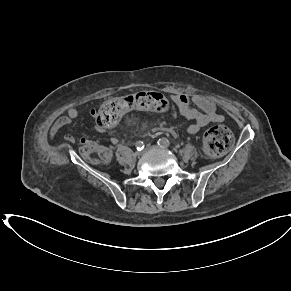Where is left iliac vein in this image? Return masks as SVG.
Segmentation results:
<instances>
[{"mask_svg":"<svg viewBox=\"0 0 291 291\" xmlns=\"http://www.w3.org/2000/svg\"><path fill=\"white\" fill-rule=\"evenodd\" d=\"M152 149H159L158 146H148L145 151L152 150Z\"/></svg>","mask_w":291,"mask_h":291,"instance_id":"obj_1","label":"left iliac vein"}]
</instances>
